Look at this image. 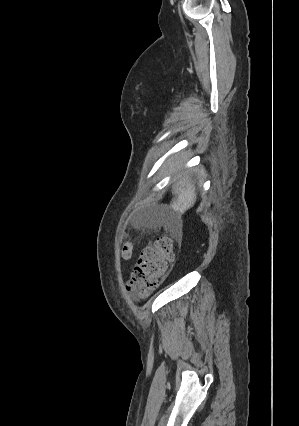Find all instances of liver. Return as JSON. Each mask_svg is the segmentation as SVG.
Wrapping results in <instances>:
<instances>
[{"mask_svg":"<svg viewBox=\"0 0 299 426\" xmlns=\"http://www.w3.org/2000/svg\"><path fill=\"white\" fill-rule=\"evenodd\" d=\"M182 165L183 163L180 162ZM172 194L174 198L166 209L171 210L170 220H181V216L195 204L197 193L195 182L187 175L179 179L172 185Z\"/></svg>","mask_w":299,"mask_h":426,"instance_id":"obj_1","label":"liver"}]
</instances>
